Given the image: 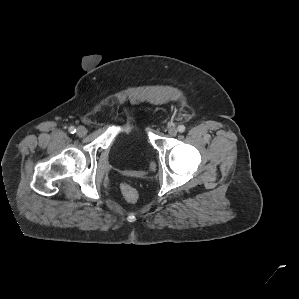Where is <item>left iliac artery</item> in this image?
Returning a JSON list of instances; mask_svg holds the SVG:
<instances>
[{
    "mask_svg": "<svg viewBox=\"0 0 299 299\" xmlns=\"http://www.w3.org/2000/svg\"><path fill=\"white\" fill-rule=\"evenodd\" d=\"M178 131H179L180 133H183V132L185 131V126H184V125H179V126H178Z\"/></svg>",
    "mask_w": 299,
    "mask_h": 299,
    "instance_id": "obj_1",
    "label": "left iliac artery"
}]
</instances>
